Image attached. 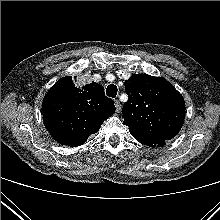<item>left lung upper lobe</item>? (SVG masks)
<instances>
[{"label": "left lung upper lobe", "instance_id": "obj_1", "mask_svg": "<svg viewBox=\"0 0 220 220\" xmlns=\"http://www.w3.org/2000/svg\"><path fill=\"white\" fill-rule=\"evenodd\" d=\"M129 100L124 104L123 123L132 135L170 140L185 118V101L167 80L146 74L125 81Z\"/></svg>", "mask_w": 220, "mask_h": 220}]
</instances>
